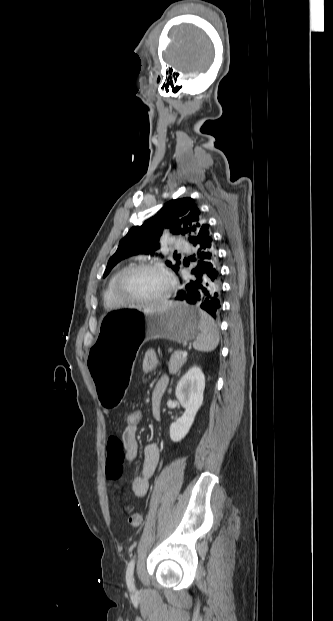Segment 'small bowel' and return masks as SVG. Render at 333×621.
<instances>
[{"mask_svg": "<svg viewBox=\"0 0 333 621\" xmlns=\"http://www.w3.org/2000/svg\"><path fill=\"white\" fill-rule=\"evenodd\" d=\"M159 360L153 351H147L142 360V369L145 373L154 372ZM168 378L162 376L157 380L152 391V406L155 415L159 412L161 399L166 391ZM137 425L127 424L121 437H111L107 444L106 475L111 481H117L123 473L124 462H133L137 458L139 446L137 441ZM159 449L153 444H147L143 451V462L139 474H134L130 480V488L134 495L143 497L149 488V480L159 463Z\"/></svg>", "mask_w": 333, "mask_h": 621, "instance_id": "c3829d8e", "label": "small bowel"}]
</instances>
